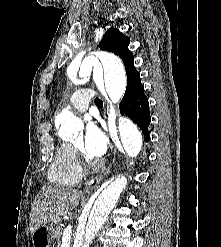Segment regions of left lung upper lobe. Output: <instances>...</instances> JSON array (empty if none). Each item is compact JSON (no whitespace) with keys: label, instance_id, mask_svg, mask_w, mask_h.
Here are the masks:
<instances>
[{"label":"left lung upper lobe","instance_id":"1","mask_svg":"<svg viewBox=\"0 0 221 247\" xmlns=\"http://www.w3.org/2000/svg\"><path fill=\"white\" fill-rule=\"evenodd\" d=\"M130 39L124 36L119 30L110 28L104 34L102 40L99 43V48L104 51H109L118 55L124 62L127 86L133 79H140V74L134 67V57L131 51L128 49Z\"/></svg>","mask_w":221,"mask_h":247}]
</instances>
